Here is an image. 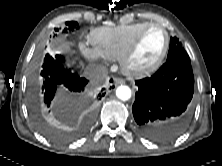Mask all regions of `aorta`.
I'll return each mask as SVG.
<instances>
[{
	"label": "aorta",
	"mask_w": 222,
	"mask_h": 166,
	"mask_svg": "<svg viewBox=\"0 0 222 166\" xmlns=\"http://www.w3.org/2000/svg\"><path fill=\"white\" fill-rule=\"evenodd\" d=\"M116 96L122 101L129 100L131 98V90L128 86L121 85L116 89Z\"/></svg>",
	"instance_id": "762f6f07"
}]
</instances>
